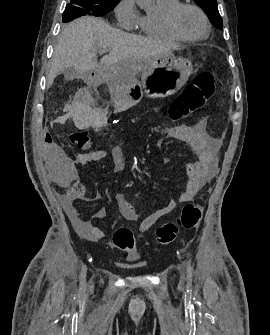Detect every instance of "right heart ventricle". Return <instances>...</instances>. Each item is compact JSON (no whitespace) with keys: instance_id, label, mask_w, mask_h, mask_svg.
<instances>
[{"instance_id":"e07e8e85","label":"right heart ventricle","mask_w":270,"mask_h":335,"mask_svg":"<svg viewBox=\"0 0 270 335\" xmlns=\"http://www.w3.org/2000/svg\"><path fill=\"white\" fill-rule=\"evenodd\" d=\"M158 14L151 15L139 14L136 27L145 35L161 40L180 41L181 38L172 34L164 22L165 14L176 5L181 3L180 0H157Z\"/></svg>"}]
</instances>
